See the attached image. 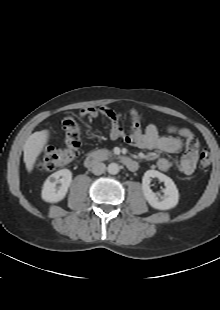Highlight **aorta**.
<instances>
[{
    "label": "aorta",
    "instance_id": "obj_1",
    "mask_svg": "<svg viewBox=\"0 0 220 310\" xmlns=\"http://www.w3.org/2000/svg\"><path fill=\"white\" fill-rule=\"evenodd\" d=\"M107 171L111 175H116L119 172V165L117 163H110L107 167Z\"/></svg>",
    "mask_w": 220,
    "mask_h": 310
}]
</instances>
